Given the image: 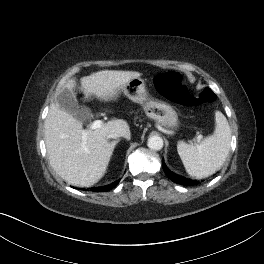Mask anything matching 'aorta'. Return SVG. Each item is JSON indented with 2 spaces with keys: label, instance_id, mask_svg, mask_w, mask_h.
Wrapping results in <instances>:
<instances>
[{
  "label": "aorta",
  "instance_id": "obj_1",
  "mask_svg": "<svg viewBox=\"0 0 264 264\" xmlns=\"http://www.w3.org/2000/svg\"><path fill=\"white\" fill-rule=\"evenodd\" d=\"M147 145L151 150H161L163 148V139L160 136H151L148 139Z\"/></svg>",
  "mask_w": 264,
  "mask_h": 264
}]
</instances>
